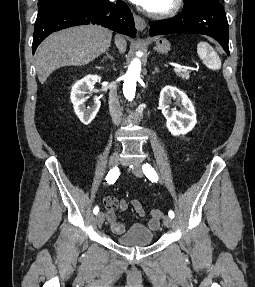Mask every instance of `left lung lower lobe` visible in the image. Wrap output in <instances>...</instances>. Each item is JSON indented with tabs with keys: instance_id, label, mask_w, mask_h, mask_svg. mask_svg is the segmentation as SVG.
<instances>
[{
	"instance_id": "obj_1",
	"label": "left lung lower lobe",
	"mask_w": 255,
	"mask_h": 287,
	"mask_svg": "<svg viewBox=\"0 0 255 287\" xmlns=\"http://www.w3.org/2000/svg\"><path fill=\"white\" fill-rule=\"evenodd\" d=\"M150 35L204 34L215 38L229 55L228 22L219 0H190L177 17L149 22Z\"/></svg>"
}]
</instances>
